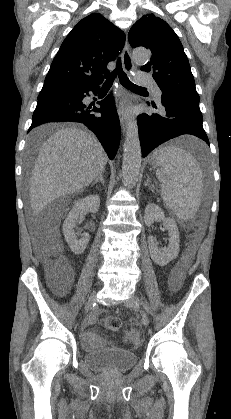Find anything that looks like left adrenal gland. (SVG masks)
Masks as SVG:
<instances>
[{
  "instance_id": "left-adrenal-gland-1",
  "label": "left adrenal gland",
  "mask_w": 231,
  "mask_h": 419,
  "mask_svg": "<svg viewBox=\"0 0 231 419\" xmlns=\"http://www.w3.org/2000/svg\"><path fill=\"white\" fill-rule=\"evenodd\" d=\"M149 182H150V179L147 178L145 186H149V188L152 190V192H154V187L152 186V184H149Z\"/></svg>"
}]
</instances>
